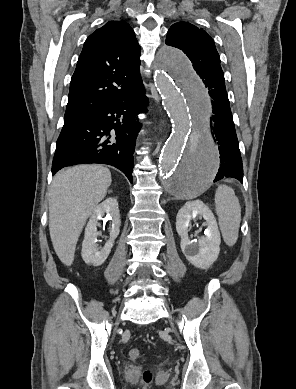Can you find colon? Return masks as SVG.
Instances as JSON below:
<instances>
[{
	"label": "colon",
	"instance_id": "1",
	"mask_svg": "<svg viewBox=\"0 0 296 389\" xmlns=\"http://www.w3.org/2000/svg\"><path fill=\"white\" fill-rule=\"evenodd\" d=\"M129 356L132 359H138L140 357V352L138 349L133 348L129 351ZM152 379H153V374L150 370H145L142 373V382H143L145 388L150 385V383L152 382Z\"/></svg>",
	"mask_w": 296,
	"mask_h": 389
}]
</instances>
